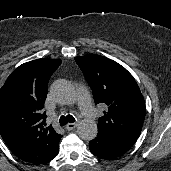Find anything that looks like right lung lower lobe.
Segmentation results:
<instances>
[{
	"instance_id": "obj_1",
	"label": "right lung lower lobe",
	"mask_w": 171,
	"mask_h": 171,
	"mask_svg": "<svg viewBox=\"0 0 171 171\" xmlns=\"http://www.w3.org/2000/svg\"><path fill=\"white\" fill-rule=\"evenodd\" d=\"M58 148L53 152V154L48 158V160L46 161V162H44V163H47V162H49L50 160H52V159H54L56 156H57V154H58ZM44 163H42V164H44Z\"/></svg>"
}]
</instances>
